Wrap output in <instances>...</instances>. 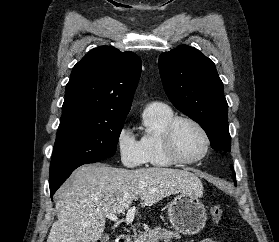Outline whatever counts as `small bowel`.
<instances>
[{
	"label": "small bowel",
	"instance_id": "obj_1",
	"mask_svg": "<svg viewBox=\"0 0 279 242\" xmlns=\"http://www.w3.org/2000/svg\"><path fill=\"white\" fill-rule=\"evenodd\" d=\"M200 242H220V241H217V240H214V239L207 238V239H203V240H201Z\"/></svg>",
	"mask_w": 279,
	"mask_h": 242
}]
</instances>
